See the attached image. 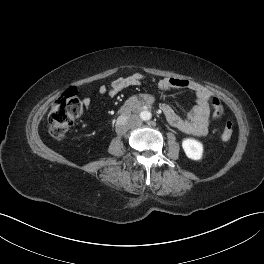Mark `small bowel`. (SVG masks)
<instances>
[{
	"mask_svg": "<svg viewBox=\"0 0 264 264\" xmlns=\"http://www.w3.org/2000/svg\"><path fill=\"white\" fill-rule=\"evenodd\" d=\"M153 82L161 91H171L185 89L191 91L196 98V104L186 117L179 116L175 110L168 104H161L160 110L167 122L174 128L195 136H203L208 132L210 107V91L199 83L180 78H162L159 80L150 78L141 73H135L127 77H119L110 84H101L98 92L101 95L114 97L122 90L138 86L146 81ZM82 105L85 109L91 106V99L85 97L82 99Z\"/></svg>",
	"mask_w": 264,
	"mask_h": 264,
	"instance_id": "obj_1",
	"label": "small bowel"
}]
</instances>
